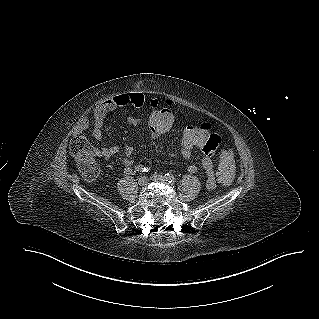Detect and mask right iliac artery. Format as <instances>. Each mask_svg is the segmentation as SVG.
Wrapping results in <instances>:
<instances>
[{
    "label": "right iliac artery",
    "mask_w": 319,
    "mask_h": 319,
    "mask_svg": "<svg viewBox=\"0 0 319 319\" xmlns=\"http://www.w3.org/2000/svg\"><path fill=\"white\" fill-rule=\"evenodd\" d=\"M135 170L138 171V172H148L149 171V168H146L142 165H138L135 167Z\"/></svg>",
    "instance_id": "82829eb1"
}]
</instances>
